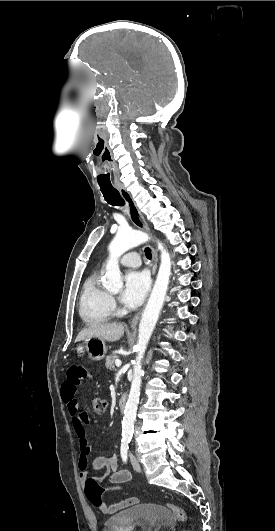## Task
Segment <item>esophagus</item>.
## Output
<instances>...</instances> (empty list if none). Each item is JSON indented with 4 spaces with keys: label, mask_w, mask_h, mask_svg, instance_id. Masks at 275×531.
<instances>
[{
    "label": "esophagus",
    "mask_w": 275,
    "mask_h": 531,
    "mask_svg": "<svg viewBox=\"0 0 275 531\" xmlns=\"http://www.w3.org/2000/svg\"><path fill=\"white\" fill-rule=\"evenodd\" d=\"M115 188L119 191L120 195L122 196V198L124 199L126 203V210H127L128 216L130 217L132 223H134L138 228L150 234V229L148 227V224L143 214L137 208L136 204L134 203L132 197L130 196V194L124 187V185L123 184L115 185ZM152 255H153L152 275L154 276L157 270V266H158V253L154 247L152 248ZM140 316H141V311L135 314V316L132 318L130 322L131 328L137 327Z\"/></svg>",
    "instance_id": "34e87169"
}]
</instances>
